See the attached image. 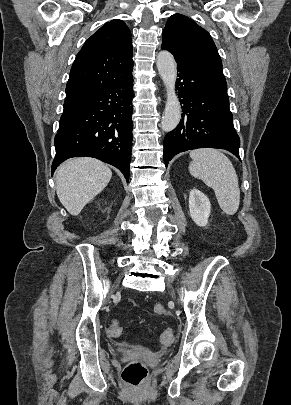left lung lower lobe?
<instances>
[{
    "mask_svg": "<svg viewBox=\"0 0 291 405\" xmlns=\"http://www.w3.org/2000/svg\"><path fill=\"white\" fill-rule=\"evenodd\" d=\"M175 60L183 113L178 126L164 139L165 166L176 154L197 148L225 149L240 159V139L233 126L222 67Z\"/></svg>",
    "mask_w": 291,
    "mask_h": 405,
    "instance_id": "1",
    "label": "left lung lower lobe"
}]
</instances>
